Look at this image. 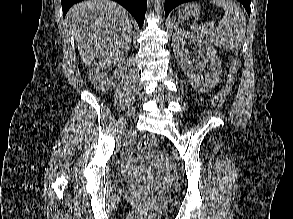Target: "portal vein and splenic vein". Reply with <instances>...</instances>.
<instances>
[{
	"instance_id": "obj_1",
	"label": "portal vein and splenic vein",
	"mask_w": 293,
	"mask_h": 219,
	"mask_svg": "<svg viewBox=\"0 0 293 219\" xmlns=\"http://www.w3.org/2000/svg\"><path fill=\"white\" fill-rule=\"evenodd\" d=\"M210 26L214 28L215 25H214V23H211Z\"/></svg>"
}]
</instances>
